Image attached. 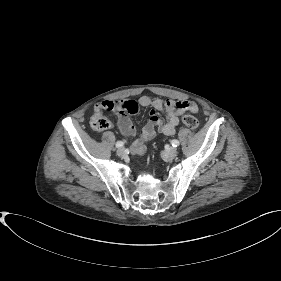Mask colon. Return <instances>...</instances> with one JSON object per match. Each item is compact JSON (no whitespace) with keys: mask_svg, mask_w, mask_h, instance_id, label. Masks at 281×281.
I'll list each match as a JSON object with an SVG mask.
<instances>
[{"mask_svg":"<svg viewBox=\"0 0 281 281\" xmlns=\"http://www.w3.org/2000/svg\"><path fill=\"white\" fill-rule=\"evenodd\" d=\"M186 107L192 109L193 111L197 110V106L192 103H186ZM112 107H108L104 111H112ZM183 124L191 131H196L198 129L199 123L197 119L192 115H184L182 117ZM90 125L94 130L103 131L110 127V121L106 115L100 111L95 113L90 120Z\"/></svg>","mask_w":281,"mask_h":281,"instance_id":"obj_1","label":"colon"}]
</instances>
